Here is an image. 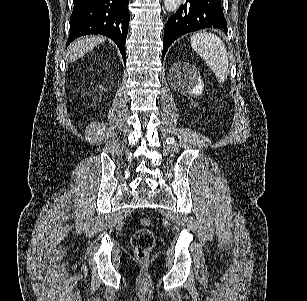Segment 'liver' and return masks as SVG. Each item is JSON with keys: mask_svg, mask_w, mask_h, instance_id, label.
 <instances>
[{"mask_svg": "<svg viewBox=\"0 0 307 301\" xmlns=\"http://www.w3.org/2000/svg\"><path fill=\"white\" fill-rule=\"evenodd\" d=\"M105 40L106 36H100V34H98V36H81V38H76L67 48L65 54L66 60H69V62L78 60V58L84 56L86 52H90V50H93L95 46H98L101 42H105Z\"/></svg>", "mask_w": 307, "mask_h": 301, "instance_id": "1", "label": "liver"}]
</instances>
